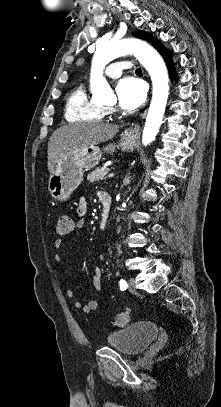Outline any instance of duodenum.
Instances as JSON below:
<instances>
[{
	"instance_id": "duodenum-1",
	"label": "duodenum",
	"mask_w": 221,
	"mask_h": 407,
	"mask_svg": "<svg viewBox=\"0 0 221 407\" xmlns=\"http://www.w3.org/2000/svg\"><path fill=\"white\" fill-rule=\"evenodd\" d=\"M111 202H112V198H111L110 194L106 192L101 199L102 212H101V216H100V219L98 222V227L100 230H105V228L107 226L110 208H111Z\"/></svg>"
}]
</instances>
